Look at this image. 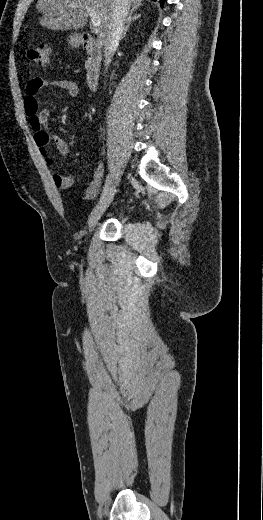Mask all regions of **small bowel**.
<instances>
[{"label": "small bowel", "mask_w": 263, "mask_h": 520, "mask_svg": "<svg viewBox=\"0 0 263 520\" xmlns=\"http://www.w3.org/2000/svg\"><path fill=\"white\" fill-rule=\"evenodd\" d=\"M43 87H56L62 89L66 91L71 97L78 96L79 89L77 84L70 80H47L42 77H35L30 79L25 87L26 96L24 99V108L30 121L34 141L39 149L40 154L51 169L54 185L59 189H66L71 186L72 177L62 175L55 169V163L49 153L48 145L50 141H53L58 152L63 156L69 154L71 146L62 138L53 135L44 129V126L48 121L50 111L47 108H39L37 95ZM103 176L104 167L101 163H98L92 175V179L86 188V199H93L96 197L100 190Z\"/></svg>", "instance_id": "c3829d8e"}]
</instances>
